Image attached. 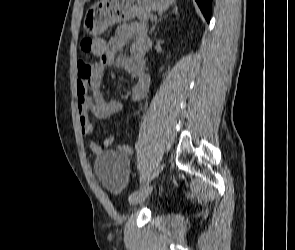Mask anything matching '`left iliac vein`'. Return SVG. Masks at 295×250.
Wrapping results in <instances>:
<instances>
[{"instance_id": "1", "label": "left iliac vein", "mask_w": 295, "mask_h": 250, "mask_svg": "<svg viewBox=\"0 0 295 250\" xmlns=\"http://www.w3.org/2000/svg\"><path fill=\"white\" fill-rule=\"evenodd\" d=\"M155 186V183L152 185H148L147 187H145L141 193L138 195V197H136L135 199H133L131 201L132 204L136 205L138 203H142L147 197L148 195L152 192L153 188Z\"/></svg>"}]
</instances>
